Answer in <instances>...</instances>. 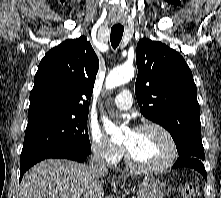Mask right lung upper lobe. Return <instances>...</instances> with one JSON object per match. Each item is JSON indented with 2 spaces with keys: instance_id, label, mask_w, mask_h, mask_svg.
I'll use <instances>...</instances> for the list:
<instances>
[{
  "instance_id": "right-lung-upper-lobe-1",
  "label": "right lung upper lobe",
  "mask_w": 221,
  "mask_h": 198,
  "mask_svg": "<svg viewBox=\"0 0 221 198\" xmlns=\"http://www.w3.org/2000/svg\"><path fill=\"white\" fill-rule=\"evenodd\" d=\"M98 68V57L84 36L52 48L34 77L28 122L48 116L88 115Z\"/></svg>"
}]
</instances>
